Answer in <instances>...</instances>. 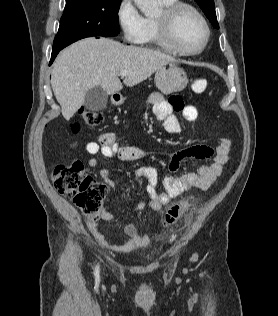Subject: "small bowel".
Masks as SVG:
<instances>
[{"mask_svg":"<svg viewBox=\"0 0 278 316\" xmlns=\"http://www.w3.org/2000/svg\"><path fill=\"white\" fill-rule=\"evenodd\" d=\"M149 102L153 106L155 117L163 122L164 129L171 134H179L182 130L175 111H180L187 121H195L198 118V110L194 105H185L181 98L172 97L166 100L159 93H152ZM232 147V140L228 137L220 139L216 147L206 145H193L178 150L171 158L169 164L170 174L163 179V192H158L159 184L158 171L153 166L143 165L135 170V175L140 180H147L148 202L140 201L134 207L135 211H142L147 206L153 210H160L167 205L173 198H176L190 189L197 188L207 190L213 182L221 175L223 166L229 159V152ZM85 150L91 158L88 165L95 168L98 162L96 155L104 157H116L120 161H136L145 157L146 151L137 146L121 145L113 133H104L98 141L88 142ZM189 158L212 159L209 164L202 165L196 172H187L183 175H176L181 164ZM101 178L108 186H112L113 180L108 169H102ZM113 213L105 209L102 219L111 222ZM88 228L92 236L102 246L118 252L129 253L141 247H145L150 242L148 235H141L136 224H127L124 228L126 239L122 244H115L106 238L97 223L88 222Z\"/></svg>","mask_w":278,"mask_h":316,"instance_id":"1","label":"small bowel"}]
</instances>
